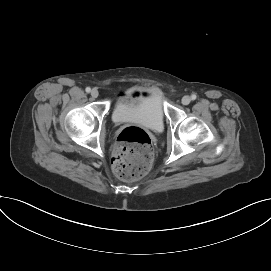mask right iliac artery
I'll use <instances>...</instances> for the list:
<instances>
[{
	"instance_id": "82829eb1",
	"label": "right iliac artery",
	"mask_w": 271,
	"mask_h": 271,
	"mask_svg": "<svg viewBox=\"0 0 271 271\" xmlns=\"http://www.w3.org/2000/svg\"><path fill=\"white\" fill-rule=\"evenodd\" d=\"M85 90H86L87 93H90L91 88H90V87H87Z\"/></svg>"
}]
</instances>
